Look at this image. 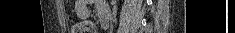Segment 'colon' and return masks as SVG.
<instances>
[{"instance_id": "colon-1", "label": "colon", "mask_w": 235, "mask_h": 33, "mask_svg": "<svg viewBox=\"0 0 235 33\" xmlns=\"http://www.w3.org/2000/svg\"><path fill=\"white\" fill-rule=\"evenodd\" d=\"M72 33H93V25L88 21L78 22L73 26Z\"/></svg>"}]
</instances>
